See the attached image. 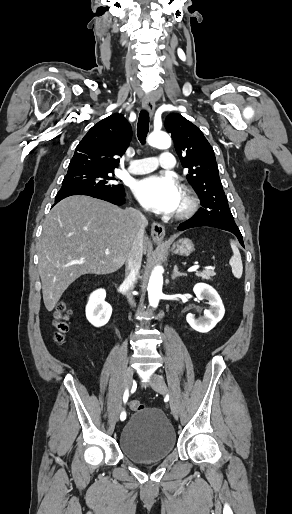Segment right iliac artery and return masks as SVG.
Listing matches in <instances>:
<instances>
[{"label":"right iliac artery","instance_id":"right-iliac-artery-1","mask_svg":"<svg viewBox=\"0 0 292 514\" xmlns=\"http://www.w3.org/2000/svg\"><path fill=\"white\" fill-rule=\"evenodd\" d=\"M128 396H129V393H128V389H127V390H125L124 395H123V402L124 403L127 402ZM120 419H121V421H124L126 419V412L125 411H122V413L120 415Z\"/></svg>","mask_w":292,"mask_h":514}]
</instances>
